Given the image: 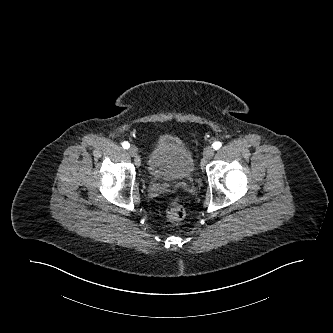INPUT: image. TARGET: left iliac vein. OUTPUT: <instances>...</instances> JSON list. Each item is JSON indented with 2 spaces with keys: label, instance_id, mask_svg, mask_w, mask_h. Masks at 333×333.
<instances>
[{
  "label": "left iliac vein",
  "instance_id": "left-iliac-vein-1",
  "mask_svg": "<svg viewBox=\"0 0 333 333\" xmlns=\"http://www.w3.org/2000/svg\"><path fill=\"white\" fill-rule=\"evenodd\" d=\"M214 156V150L212 147H206L203 151L204 160L211 159Z\"/></svg>",
  "mask_w": 333,
  "mask_h": 333
}]
</instances>
